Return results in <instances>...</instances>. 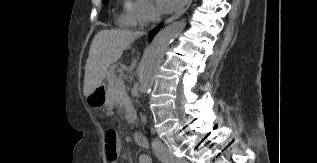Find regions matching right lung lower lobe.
<instances>
[{"label": "right lung lower lobe", "instance_id": "obj_1", "mask_svg": "<svg viewBox=\"0 0 317 163\" xmlns=\"http://www.w3.org/2000/svg\"><path fill=\"white\" fill-rule=\"evenodd\" d=\"M161 25H159L158 27L154 28L150 33H149V41H151V39L153 38V36L158 32V30L160 29Z\"/></svg>", "mask_w": 317, "mask_h": 163}]
</instances>
